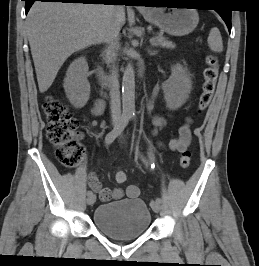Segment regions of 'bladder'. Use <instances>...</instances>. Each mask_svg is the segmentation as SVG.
Here are the masks:
<instances>
[{
  "instance_id": "31cf9c89",
  "label": "bladder",
  "mask_w": 259,
  "mask_h": 266,
  "mask_svg": "<svg viewBox=\"0 0 259 266\" xmlns=\"http://www.w3.org/2000/svg\"><path fill=\"white\" fill-rule=\"evenodd\" d=\"M92 220L108 237L132 240L149 229L151 213L142 199L135 198L99 205L93 212Z\"/></svg>"
}]
</instances>
